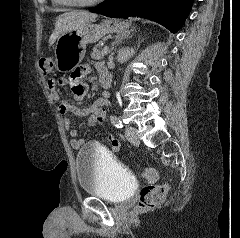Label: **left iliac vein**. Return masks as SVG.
Returning <instances> with one entry per match:
<instances>
[{"label": "left iliac vein", "instance_id": "obj_1", "mask_svg": "<svg viewBox=\"0 0 240 238\" xmlns=\"http://www.w3.org/2000/svg\"><path fill=\"white\" fill-rule=\"evenodd\" d=\"M125 136L127 140L133 145H138L140 143L137 129L133 126L126 127Z\"/></svg>", "mask_w": 240, "mask_h": 238}]
</instances>
